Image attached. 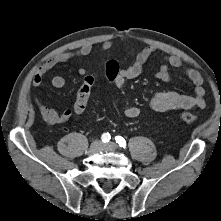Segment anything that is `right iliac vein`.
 Listing matches in <instances>:
<instances>
[{"label":"right iliac vein","mask_w":221,"mask_h":221,"mask_svg":"<svg viewBox=\"0 0 221 221\" xmlns=\"http://www.w3.org/2000/svg\"><path fill=\"white\" fill-rule=\"evenodd\" d=\"M102 148V143L99 140H95L88 149V154H95Z\"/></svg>","instance_id":"obj_1"}]
</instances>
